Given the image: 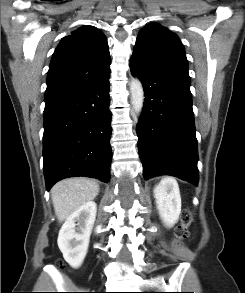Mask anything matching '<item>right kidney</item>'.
<instances>
[{"label": "right kidney", "mask_w": 245, "mask_h": 293, "mask_svg": "<svg viewBox=\"0 0 245 293\" xmlns=\"http://www.w3.org/2000/svg\"><path fill=\"white\" fill-rule=\"evenodd\" d=\"M96 211L95 202H86L66 219L59 231L58 247L73 268H79L87 254Z\"/></svg>", "instance_id": "right-kidney-1"}]
</instances>
